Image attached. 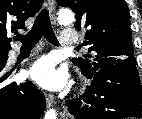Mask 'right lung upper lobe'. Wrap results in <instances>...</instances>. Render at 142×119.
Wrapping results in <instances>:
<instances>
[{"label": "right lung upper lobe", "instance_id": "obj_1", "mask_svg": "<svg viewBox=\"0 0 142 119\" xmlns=\"http://www.w3.org/2000/svg\"><path fill=\"white\" fill-rule=\"evenodd\" d=\"M43 0H0V55L11 50L7 32L25 29V21L41 8Z\"/></svg>", "mask_w": 142, "mask_h": 119}]
</instances>
